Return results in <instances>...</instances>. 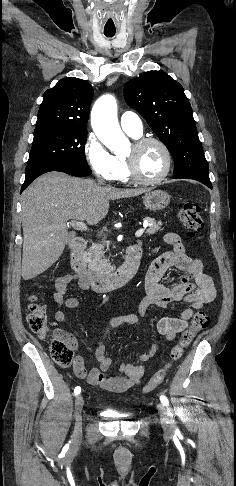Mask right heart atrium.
<instances>
[{
    "instance_id": "obj_1",
    "label": "right heart atrium",
    "mask_w": 236,
    "mask_h": 486,
    "mask_svg": "<svg viewBox=\"0 0 236 486\" xmlns=\"http://www.w3.org/2000/svg\"><path fill=\"white\" fill-rule=\"evenodd\" d=\"M85 158L94 173L107 181H115L118 175V163L94 133H90L84 143Z\"/></svg>"
}]
</instances>
